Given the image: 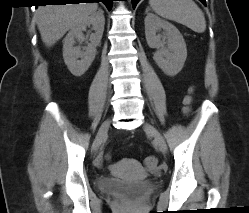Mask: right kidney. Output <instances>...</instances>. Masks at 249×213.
Listing matches in <instances>:
<instances>
[{
	"label": "right kidney",
	"mask_w": 249,
	"mask_h": 213,
	"mask_svg": "<svg viewBox=\"0 0 249 213\" xmlns=\"http://www.w3.org/2000/svg\"><path fill=\"white\" fill-rule=\"evenodd\" d=\"M105 25L103 12H95L82 22L71 28L63 42V58L69 71L74 76L83 75L91 66L95 59L96 47L100 44ZM92 26L94 33L90 35L87 47L81 51L80 47H75V40L82 43L85 41L83 31ZM80 58V60H78Z\"/></svg>",
	"instance_id": "right-kidney-1"
}]
</instances>
